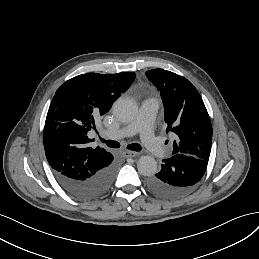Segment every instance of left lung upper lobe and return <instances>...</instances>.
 Wrapping results in <instances>:
<instances>
[{
  "mask_svg": "<svg viewBox=\"0 0 259 259\" xmlns=\"http://www.w3.org/2000/svg\"><path fill=\"white\" fill-rule=\"evenodd\" d=\"M146 75L161 92L166 132L177 135L172 154L209 160L212 125L196 88L186 78L163 69L149 70Z\"/></svg>",
  "mask_w": 259,
  "mask_h": 259,
  "instance_id": "5c2ea615",
  "label": "left lung upper lobe"
}]
</instances>
